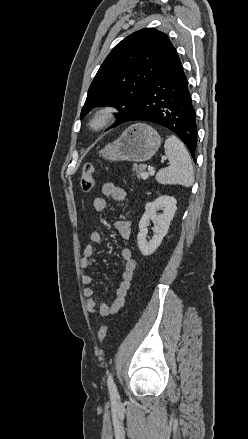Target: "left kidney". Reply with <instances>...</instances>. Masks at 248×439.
<instances>
[{
  "label": "left kidney",
  "instance_id": "obj_1",
  "mask_svg": "<svg viewBox=\"0 0 248 439\" xmlns=\"http://www.w3.org/2000/svg\"><path fill=\"white\" fill-rule=\"evenodd\" d=\"M176 204L177 200L174 197L166 195L146 204L145 213L139 222V233L137 235L138 247L143 256L152 254L160 246L177 210ZM158 210H163V213L157 214ZM150 221L154 224L153 231L155 235L150 241H147V226Z\"/></svg>",
  "mask_w": 248,
  "mask_h": 439
}]
</instances>
